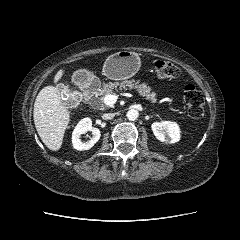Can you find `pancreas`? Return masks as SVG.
<instances>
[{
    "label": "pancreas",
    "mask_w": 240,
    "mask_h": 240,
    "mask_svg": "<svg viewBox=\"0 0 240 240\" xmlns=\"http://www.w3.org/2000/svg\"><path fill=\"white\" fill-rule=\"evenodd\" d=\"M122 89H135L140 95L145 96L152 103H156V93L146 83L135 82L134 80H125L122 82L103 83L101 89L96 92V101L92 103V107L97 110H105L104 97L109 94H114V91Z\"/></svg>",
    "instance_id": "1"
}]
</instances>
